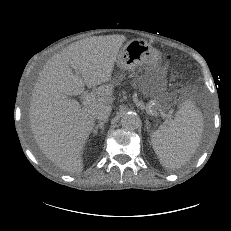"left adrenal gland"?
Instances as JSON below:
<instances>
[{
  "label": "left adrenal gland",
  "instance_id": "a2214340",
  "mask_svg": "<svg viewBox=\"0 0 231 231\" xmlns=\"http://www.w3.org/2000/svg\"><path fill=\"white\" fill-rule=\"evenodd\" d=\"M146 128H147V130L149 131V129H150V125H149V121L146 119Z\"/></svg>",
  "mask_w": 231,
  "mask_h": 231
}]
</instances>
